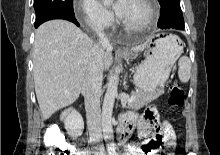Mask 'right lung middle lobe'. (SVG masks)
<instances>
[{
	"label": "right lung middle lobe",
	"instance_id": "right-lung-middle-lobe-1",
	"mask_svg": "<svg viewBox=\"0 0 220 155\" xmlns=\"http://www.w3.org/2000/svg\"><path fill=\"white\" fill-rule=\"evenodd\" d=\"M36 20L55 12L74 15L73 0H34Z\"/></svg>",
	"mask_w": 220,
	"mask_h": 155
}]
</instances>
